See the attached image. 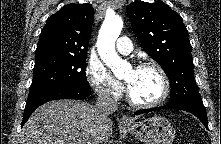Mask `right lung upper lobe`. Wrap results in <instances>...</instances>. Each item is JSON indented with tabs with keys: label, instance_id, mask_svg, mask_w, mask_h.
Returning <instances> with one entry per match:
<instances>
[{
	"label": "right lung upper lobe",
	"instance_id": "cb5924a9",
	"mask_svg": "<svg viewBox=\"0 0 221 144\" xmlns=\"http://www.w3.org/2000/svg\"><path fill=\"white\" fill-rule=\"evenodd\" d=\"M94 21L90 4H68L47 19L40 35L36 55L55 53L87 55Z\"/></svg>",
	"mask_w": 221,
	"mask_h": 144
}]
</instances>
